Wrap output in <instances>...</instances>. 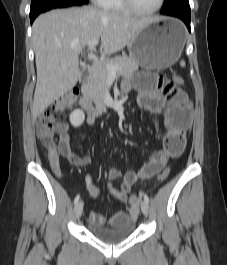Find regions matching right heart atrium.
<instances>
[{"mask_svg":"<svg viewBox=\"0 0 227 265\" xmlns=\"http://www.w3.org/2000/svg\"><path fill=\"white\" fill-rule=\"evenodd\" d=\"M92 1L100 6H103L106 0H92Z\"/></svg>","mask_w":227,"mask_h":265,"instance_id":"d8ad5b80","label":"right heart atrium"}]
</instances>
